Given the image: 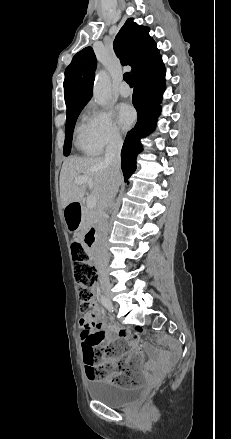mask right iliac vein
Instances as JSON below:
<instances>
[{"instance_id": "obj_1", "label": "right iliac vein", "mask_w": 231, "mask_h": 439, "mask_svg": "<svg viewBox=\"0 0 231 439\" xmlns=\"http://www.w3.org/2000/svg\"><path fill=\"white\" fill-rule=\"evenodd\" d=\"M107 295H108L109 297H111L110 292H108V291H107ZM112 309H113V306H112Z\"/></svg>"}]
</instances>
